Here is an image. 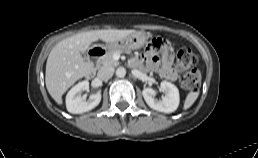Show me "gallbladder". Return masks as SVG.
Returning <instances> with one entry per match:
<instances>
[{
    "instance_id": "obj_1",
    "label": "gallbladder",
    "mask_w": 258,
    "mask_h": 158,
    "mask_svg": "<svg viewBox=\"0 0 258 158\" xmlns=\"http://www.w3.org/2000/svg\"><path fill=\"white\" fill-rule=\"evenodd\" d=\"M83 57L85 58V57H86V55H85V54H83Z\"/></svg>"
}]
</instances>
